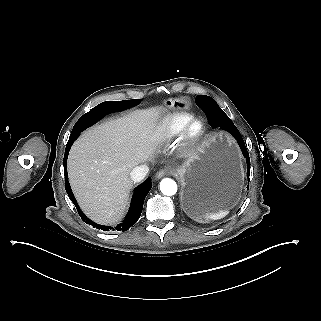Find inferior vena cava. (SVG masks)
<instances>
[{
    "label": "inferior vena cava",
    "mask_w": 321,
    "mask_h": 321,
    "mask_svg": "<svg viewBox=\"0 0 321 321\" xmlns=\"http://www.w3.org/2000/svg\"><path fill=\"white\" fill-rule=\"evenodd\" d=\"M149 172V167L147 165L136 166L130 172V178L133 181L142 180Z\"/></svg>",
    "instance_id": "602c4592"
}]
</instances>
